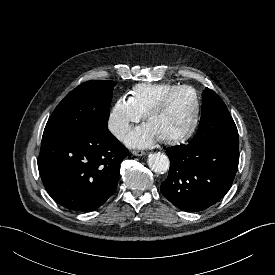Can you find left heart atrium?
<instances>
[{
    "mask_svg": "<svg viewBox=\"0 0 275 275\" xmlns=\"http://www.w3.org/2000/svg\"><path fill=\"white\" fill-rule=\"evenodd\" d=\"M158 140L157 134L147 123L130 132L126 138V144L134 148H146Z\"/></svg>",
    "mask_w": 275,
    "mask_h": 275,
    "instance_id": "obj_1",
    "label": "left heart atrium"
}]
</instances>
